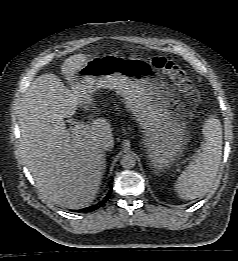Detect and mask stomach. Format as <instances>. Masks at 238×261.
<instances>
[{"label":"stomach","mask_w":238,"mask_h":261,"mask_svg":"<svg viewBox=\"0 0 238 261\" xmlns=\"http://www.w3.org/2000/svg\"><path fill=\"white\" fill-rule=\"evenodd\" d=\"M72 86L92 97L113 89L140 124L146 153L157 170L169 167L187 142L184 115L173 92L141 61L108 55L88 60Z\"/></svg>","instance_id":"stomach-1"}]
</instances>
